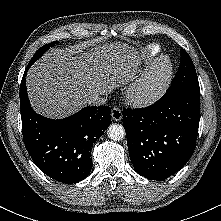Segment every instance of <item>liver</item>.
<instances>
[{"mask_svg": "<svg viewBox=\"0 0 221 221\" xmlns=\"http://www.w3.org/2000/svg\"><path fill=\"white\" fill-rule=\"evenodd\" d=\"M53 48L29 69L28 95L37 113L67 117L86 106L91 95H105L135 77L141 57L127 44Z\"/></svg>", "mask_w": 221, "mask_h": 221, "instance_id": "obj_1", "label": "liver"}]
</instances>
